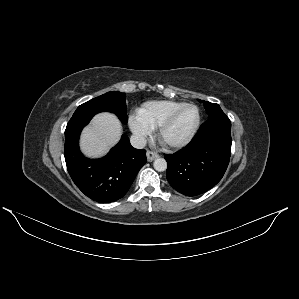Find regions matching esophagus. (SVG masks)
Listing matches in <instances>:
<instances>
[{"mask_svg":"<svg viewBox=\"0 0 299 299\" xmlns=\"http://www.w3.org/2000/svg\"><path fill=\"white\" fill-rule=\"evenodd\" d=\"M146 156H147V160L149 162L153 161L154 159L158 158L159 155L153 151H147L146 153Z\"/></svg>","mask_w":299,"mask_h":299,"instance_id":"1","label":"esophagus"}]
</instances>
